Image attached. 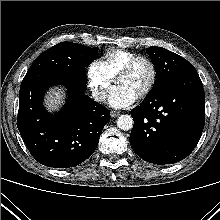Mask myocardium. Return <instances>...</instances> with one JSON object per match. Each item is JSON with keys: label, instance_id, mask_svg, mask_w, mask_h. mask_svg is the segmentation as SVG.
<instances>
[{"label": "myocardium", "instance_id": "myocardium-1", "mask_svg": "<svg viewBox=\"0 0 220 220\" xmlns=\"http://www.w3.org/2000/svg\"><path fill=\"white\" fill-rule=\"evenodd\" d=\"M140 62H145L149 65L150 70H151V77L150 80L147 84V86L143 89V91L137 96L138 99H144L147 97L154 89L156 82H157V77H158V71L156 64L152 59L146 56H136L135 58L131 59L128 63H126L123 68L119 71L117 74V78L119 76L128 74L131 72L135 66L140 63Z\"/></svg>", "mask_w": 220, "mask_h": 220}]
</instances>
